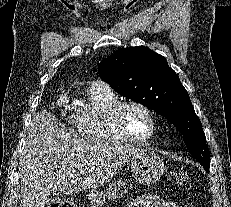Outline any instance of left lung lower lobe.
Instances as JSON below:
<instances>
[{
    "label": "left lung lower lobe",
    "mask_w": 231,
    "mask_h": 207,
    "mask_svg": "<svg viewBox=\"0 0 231 207\" xmlns=\"http://www.w3.org/2000/svg\"><path fill=\"white\" fill-rule=\"evenodd\" d=\"M204 169H205L207 172H209V167H204Z\"/></svg>",
    "instance_id": "left-lung-lower-lobe-1"
}]
</instances>
